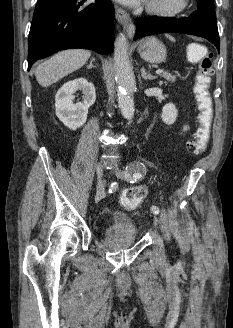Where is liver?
Instances as JSON below:
<instances>
[{
	"label": "liver",
	"instance_id": "6515ba94",
	"mask_svg": "<svg viewBox=\"0 0 233 328\" xmlns=\"http://www.w3.org/2000/svg\"><path fill=\"white\" fill-rule=\"evenodd\" d=\"M90 55L89 51L83 49L60 51L37 67L36 80L41 86L47 87L81 68L88 61Z\"/></svg>",
	"mask_w": 233,
	"mask_h": 328
}]
</instances>
